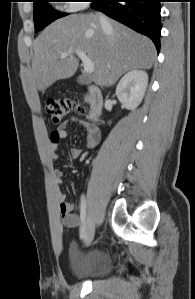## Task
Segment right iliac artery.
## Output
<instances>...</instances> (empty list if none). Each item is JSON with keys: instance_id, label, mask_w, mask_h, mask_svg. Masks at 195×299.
<instances>
[{"instance_id": "right-iliac-artery-1", "label": "right iliac artery", "mask_w": 195, "mask_h": 299, "mask_svg": "<svg viewBox=\"0 0 195 299\" xmlns=\"http://www.w3.org/2000/svg\"><path fill=\"white\" fill-rule=\"evenodd\" d=\"M80 218L82 221V226L80 228V237L81 239H83L85 237V224H86V199L84 195L81 196Z\"/></svg>"}]
</instances>
